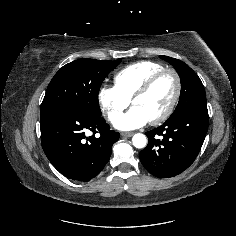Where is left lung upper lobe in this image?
Here are the masks:
<instances>
[{
    "label": "left lung upper lobe",
    "mask_w": 236,
    "mask_h": 236,
    "mask_svg": "<svg viewBox=\"0 0 236 236\" xmlns=\"http://www.w3.org/2000/svg\"><path fill=\"white\" fill-rule=\"evenodd\" d=\"M160 58L170 63L176 69L181 80L180 99L170 118L179 115L193 105L205 104L206 94L204 86L197 74L181 60L168 56H160Z\"/></svg>",
    "instance_id": "5c2ea615"
}]
</instances>
